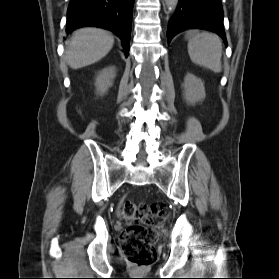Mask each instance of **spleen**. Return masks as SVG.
Returning a JSON list of instances; mask_svg holds the SVG:
<instances>
[{"instance_id":"3e777b00","label":"spleen","mask_w":279,"mask_h":279,"mask_svg":"<svg viewBox=\"0 0 279 279\" xmlns=\"http://www.w3.org/2000/svg\"><path fill=\"white\" fill-rule=\"evenodd\" d=\"M188 53L193 63L215 73L222 71V43L217 35L197 32L189 39Z\"/></svg>"}]
</instances>
